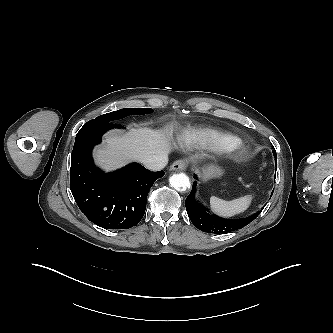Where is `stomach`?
I'll return each instance as SVG.
<instances>
[{"label": "stomach", "instance_id": "0dacf381", "mask_svg": "<svg viewBox=\"0 0 333 333\" xmlns=\"http://www.w3.org/2000/svg\"><path fill=\"white\" fill-rule=\"evenodd\" d=\"M222 173H223L222 170L218 166L210 165L203 170V177L204 179L220 177Z\"/></svg>", "mask_w": 333, "mask_h": 333}]
</instances>
